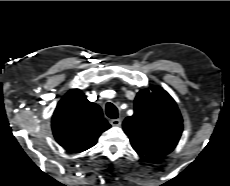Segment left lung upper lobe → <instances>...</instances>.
Returning a JSON list of instances; mask_svg holds the SVG:
<instances>
[{"mask_svg": "<svg viewBox=\"0 0 230 186\" xmlns=\"http://www.w3.org/2000/svg\"><path fill=\"white\" fill-rule=\"evenodd\" d=\"M141 90L135 98V110L123 122L132 147L146 160L170 153L182 133V118L173 98L161 87Z\"/></svg>", "mask_w": 230, "mask_h": 186, "instance_id": "1", "label": "left lung upper lobe"}]
</instances>
